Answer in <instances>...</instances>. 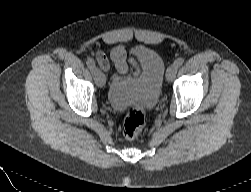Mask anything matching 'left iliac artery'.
Returning <instances> with one entry per match:
<instances>
[{"instance_id": "44dca946", "label": "left iliac artery", "mask_w": 251, "mask_h": 192, "mask_svg": "<svg viewBox=\"0 0 251 192\" xmlns=\"http://www.w3.org/2000/svg\"><path fill=\"white\" fill-rule=\"evenodd\" d=\"M184 63V59L183 58H178L174 64L177 66V67H180L182 64Z\"/></svg>"}]
</instances>
